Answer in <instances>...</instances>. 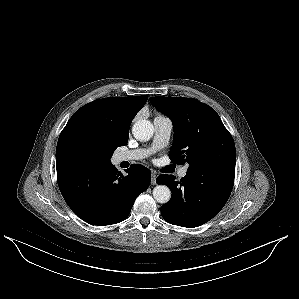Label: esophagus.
I'll return each instance as SVG.
<instances>
[{
	"label": "esophagus",
	"mask_w": 299,
	"mask_h": 299,
	"mask_svg": "<svg viewBox=\"0 0 299 299\" xmlns=\"http://www.w3.org/2000/svg\"><path fill=\"white\" fill-rule=\"evenodd\" d=\"M156 177H157L156 173H155V172H152V179H151V184H152V185H155V184H156Z\"/></svg>",
	"instance_id": "esophagus-1"
}]
</instances>
